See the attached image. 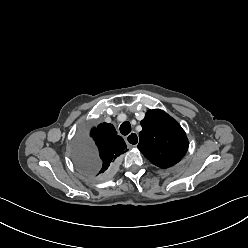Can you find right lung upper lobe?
<instances>
[{"label":"right lung upper lobe","instance_id":"1","mask_svg":"<svg viewBox=\"0 0 248 248\" xmlns=\"http://www.w3.org/2000/svg\"><path fill=\"white\" fill-rule=\"evenodd\" d=\"M100 159L97 175H103L117 162V158L125 153L127 146L112 124L101 123L90 132Z\"/></svg>","mask_w":248,"mask_h":248}]
</instances>
